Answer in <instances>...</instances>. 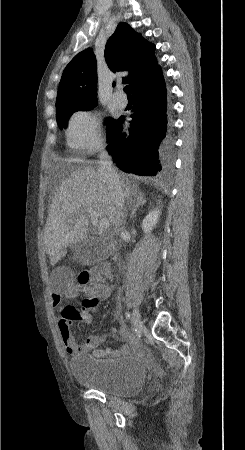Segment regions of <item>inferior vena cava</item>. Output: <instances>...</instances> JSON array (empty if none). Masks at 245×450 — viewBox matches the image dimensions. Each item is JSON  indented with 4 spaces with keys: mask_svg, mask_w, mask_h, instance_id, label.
Wrapping results in <instances>:
<instances>
[{
    "mask_svg": "<svg viewBox=\"0 0 245 450\" xmlns=\"http://www.w3.org/2000/svg\"><path fill=\"white\" fill-rule=\"evenodd\" d=\"M99 177L102 178L110 191L111 197L114 200L119 213H122L125 203V193L123 191V184L120 176L116 170L112 167L111 157L105 150H101L99 155Z\"/></svg>",
    "mask_w": 245,
    "mask_h": 450,
    "instance_id": "1",
    "label": "inferior vena cava"
}]
</instances>
